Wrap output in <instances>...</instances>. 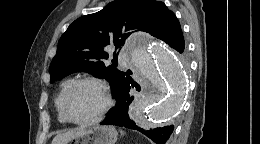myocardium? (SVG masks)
<instances>
[{"mask_svg":"<svg viewBox=\"0 0 260 144\" xmlns=\"http://www.w3.org/2000/svg\"><path fill=\"white\" fill-rule=\"evenodd\" d=\"M82 84H93L94 86H96L102 95L103 105H102V108L100 109L99 113L96 116H94L93 118H90L87 120H76V119H73L71 117V115L69 114L68 102H69V99H70L72 93L75 91V89ZM110 106H111V98H110L106 85L104 84V82H102L101 80L94 78V77H84V78L75 80L70 85V87L67 89V91L64 94L63 99H62V112H63L65 119L69 123H72L75 125H80V126L91 125V124L99 122L103 118V116L106 114V112L109 110Z\"/></svg>","mask_w":260,"mask_h":144,"instance_id":"myocardium-1","label":"myocardium"}]
</instances>
